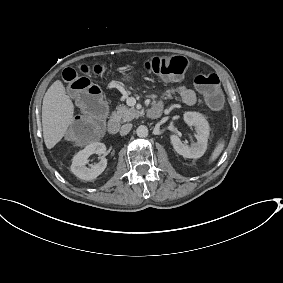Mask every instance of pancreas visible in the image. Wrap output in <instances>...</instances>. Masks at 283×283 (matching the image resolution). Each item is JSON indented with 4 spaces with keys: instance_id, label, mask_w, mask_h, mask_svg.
I'll return each instance as SVG.
<instances>
[{
    "instance_id": "obj_1",
    "label": "pancreas",
    "mask_w": 283,
    "mask_h": 283,
    "mask_svg": "<svg viewBox=\"0 0 283 283\" xmlns=\"http://www.w3.org/2000/svg\"><path fill=\"white\" fill-rule=\"evenodd\" d=\"M143 112L119 105L117 111L112 112V119L119 122H129L142 115Z\"/></svg>"
}]
</instances>
